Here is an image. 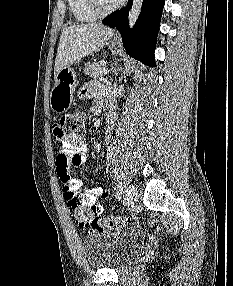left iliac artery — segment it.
Instances as JSON below:
<instances>
[{
  "mask_svg": "<svg viewBox=\"0 0 233 286\" xmlns=\"http://www.w3.org/2000/svg\"><path fill=\"white\" fill-rule=\"evenodd\" d=\"M117 193H116V197L117 199H120L123 193V187H122V183L119 182V180H117Z\"/></svg>",
  "mask_w": 233,
  "mask_h": 286,
  "instance_id": "1",
  "label": "left iliac artery"
}]
</instances>
